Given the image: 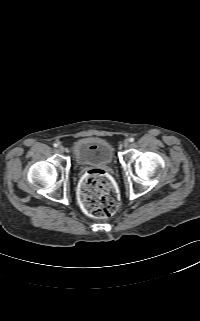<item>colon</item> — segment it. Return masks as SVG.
Segmentation results:
<instances>
[{"mask_svg": "<svg viewBox=\"0 0 200 321\" xmlns=\"http://www.w3.org/2000/svg\"><path fill=\"white\" fill-rule=\"evenodd\" d=\"M80 203L87 214L95 218H107L119 205L118 193L105 171H88L79 185Z\"/></svg>", "mask_w": 200, "mask_h": 321, "instance_id": "obj_1", "label": "colon"}]
</instances>
